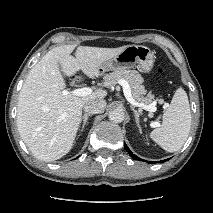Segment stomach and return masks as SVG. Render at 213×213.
Returning a JSON list of instances; mask_svg holds the SVG:
<instances>
[{
	"label": "stomach",
	"mask_w": 213,
	"mask_h": 213,
	"mask_svg": "<svg viewBox=\"0 0 213 213\" xmlns=\"http://www.w3.org/2000/svg\"><path fill=\"white\" fill-rule=\"evenodd\" d=\"M154 65V54L146 46L128 45L121 53L106 61L100 71L126 70L137 67L143 73H149Z\"/></svg>",
	"instance_id": "1"
}]
</instances>
